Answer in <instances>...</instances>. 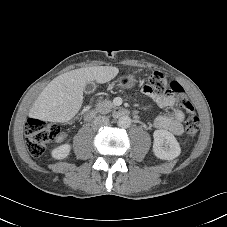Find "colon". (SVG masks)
Instances as JSON below:
<instances>
[{
  "mask_svg": "<svg viewBox=\"0 0 227 227\" xmlns=\"http://www.w3.org/2000/svg\"><path fill=\"white\" fill-rule=\"evenodd\" d=\"M146 83L159 90L158 96H161L163 89H170L176 95L178 105L189 113V117L185 122V134L188 138L195 137L200 127V121L195 115L194 107L182 87L176 82H169L164 74L159 71L150 73L147 76ZM24 130L27 148L33 157L41 156L45 151L46 145L58 137L61 132L58 124L33 118L28 119Z\"/></svg>",
  "mask_w": 227,
  "mask_h": 227,
  "instance_id": "obj_1",
  "label": "colon"
}]
</instances>
